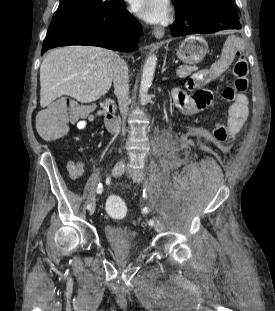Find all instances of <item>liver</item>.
Instances as JSON below:
<instances>
[{
	"instance_id": "6515ba94",
	"label": "liver",
	"mask_w": 275,
	"mask_h": 311,
	"mask_svg": "<svg viewBox=\"0 0 275 311\" xmlns=\"http://www.w3.org/2000/svg\"><path fill=\"white\" fill-rule=\"evenodd\" d=\"M111 50L94 46H67L50 51L40 66V106L62 95L91 103L105 95L113 79Z\"/></svg>"
}]
</instances>
